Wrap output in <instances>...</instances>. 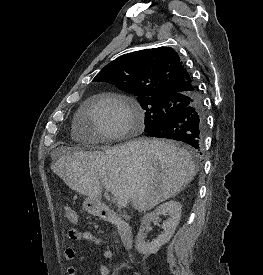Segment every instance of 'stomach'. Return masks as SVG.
Masks as SVG:
<instances>
[{"label":"stomach","mask_w":263,"mask_h":275,"mask_svg":"<svg viewBox=\"0 0 263 275\" xmlns=\"http://www.w3.org/2000/svg\"><path fill=\"white\" fill-rule=\"evenodd\" d=\"M83 208L91 215L98 216L102 209V204L99 200L87 198L83 203Z\"/></svg>","instance_id":"stomach-1"}]
</instances>
